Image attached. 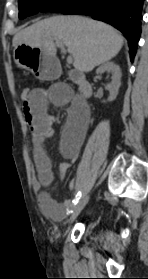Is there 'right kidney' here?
I'll return each instance as SVG.
<instances>
[{
    "mask_svg": "<svg viewBox=\"0 0 148 279\" xmlns=\"http://www.w3.org/2000/svg\"><path fill=\"white\" fill-rule=\"evenodd\" d=\"M104 72H109L112 74V81L107 85V89L110 93V96L107 101L111 102L116 99L121 85V70L120 67L114 62H107L101 65L97 70L96 74H102Z\"/></svg>",
    "mask_w": 148,
    "mask_h": 279,
    "instance_id": "right-kidney-1",
    "label": "right kidney"
}]
</instances>
